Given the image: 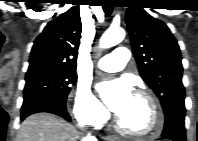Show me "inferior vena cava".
<instances>
[{
  "label": "inferior vena cava",
  "instance_id": "602c4592",
  "mask_svg": "<svg viewBox=\"0 0 198 141\" xmlns=\"http://www.w3.org/2000/svg\"><path fill=\"white\" fill-rule=\"evenodd\" d=\"M84 141H96V138L93 137V136L88 135V136L84 139Z\"/></svg>",
  "mask_w": 198,
  "mask_h": 141
}]
</instances>
